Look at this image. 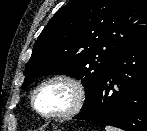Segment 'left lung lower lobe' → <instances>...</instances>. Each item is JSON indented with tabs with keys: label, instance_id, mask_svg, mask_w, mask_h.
<instances>
[{
	"label": "left lung lower lobe",
	"instance_id": "0a47b994",
	"mask_svg": "<svg viewBox=\"0 0 147 131\" xmlns=\"http://www.w3.org/2000/svg\"><path fill=\"white\" fill-rule=\"evenodd\" d=\"M73 118L147 131V36L117 56L96 95Z\"/></svg>",
	"mask_w": 147,
	"mask_h": 131
}]
</instances>
